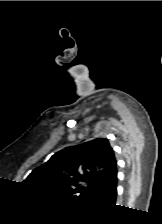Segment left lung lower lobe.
<instances>
[{
	"label": "left lung lower lobe",
	"instance_id": "0a47b994",
	"mask_svg": "<svg viewBox=\"0 0 162 224\" xmlns=\"http://www.w3.org/2000/svg\"><path fill=\"white\" fill-rule=\"evenodd\" d=\"M117 171L113 172L107 180L95 191L87 196L88 200L113 205L116 200Z\"/></svg>",
	"mask_w": 162,
	"mask_h": 224
}]
</instances>
